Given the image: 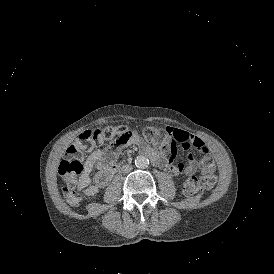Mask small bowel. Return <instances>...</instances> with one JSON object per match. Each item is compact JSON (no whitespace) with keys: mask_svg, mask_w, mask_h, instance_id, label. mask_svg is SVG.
Listing matches in <instances>:
<instances>
[{"mask_svg":"<svg viewBox=\"0 0 274 274\" xmlns=\"http://www.w3.org/2000/svg\"><path fill=\"white\" fill-rule=\"evenodd\" d=\"M180 132H175L172 127H169L171 134H174L177 137V140L180 141V147L184 150H188L191 147L197 148L200 152H204L207 148L206 144L199 139L198 137L193 136L192 134L178 129ZM132 144L138 147L141 152L149 149L147 144L136 135H132L127 144ZM110 146L104 150H95L93 151L85 160L84 170L81 176L78 179V188L79 190L88 196L96 195L101 189L108 185L113 175L118 169V164L116 163V158L120 150L126 146ZM187 159L190 161L188 165L183 166L181 164H174L172 158L160 155L155 152L152 157V161L158 167L165 168L171 173L178 175L181 173H186L187 175H192L196 170L195 161L198 159V154L195 151H190L187 154ZM209 167L215 166L214 160L208 161ZM97 170L96 174L93 177V183L91 184V172ZM198 173L201 174L208 183L214 182V177L209 173L205 166H200L198 168Z\"/></svg>","mask_w":274,"mask_h":274,"instance_id":"1","label":"small bowel"}]
</instances>
